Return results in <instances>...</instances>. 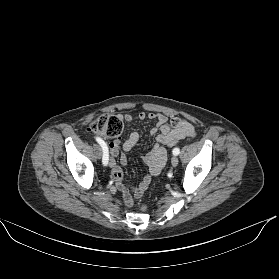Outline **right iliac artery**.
<instances>
[{
    "mask_svg": "<svg viewBox=\"0 0 279 279\" xmlns=\"http://www.w3.org/2000/svg\"><path fill=\"white\" fill-rule=\"evenodd\" d=\"M96 141L100 144V146L102 147V150H103L102 162L104 165H107L108 160H109V151H108L107 144L99 137H96Z\"/></svg>",
    "mask_w": 279,
    "mask_h": 279,
    "instance_id": "82829eb1",
    "label": "right iliac artery"
}]
</instances>
